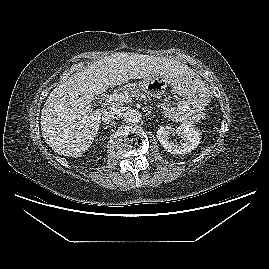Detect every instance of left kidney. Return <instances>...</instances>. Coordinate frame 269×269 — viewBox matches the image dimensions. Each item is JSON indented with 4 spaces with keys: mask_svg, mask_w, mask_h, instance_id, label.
<instances>
[{
    "mask_svg": "<svg viewBox=\"0 0 269 269\" xmlns=\"http://www.w3.org/2000/svg\"><path fill=\"white\" fill-rule=\"evenodd\" d=\"M172 133L181 136L183 141L180 145L169 140ZM156 136L161 145L172 154H185L194 150L200 143L199 131L189 124H181L177 129L169 126L161 127L158 129Z\"/></svg>",
    "mask_w": 269,
    "mask_h": 269,
    "instance_id": "left-kidney-1",
    "label": "left kidney"
}]
</instances>
